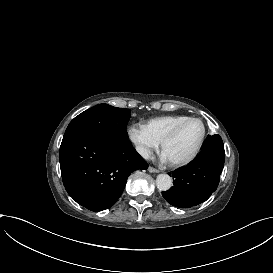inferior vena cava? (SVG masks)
I'll list each match as a JSON object with an SVG mask.
<instances>
[{"instance_id":"inferior-vena-cava-1","label":"inferior vena cava","mask_w":273,"mask_h":273,"mask_svg":"<svg viewBox=\"0 0 273 273\" xmlns=\"http://www.w3.org/2000/svg\"><path fill=\"white\" fill-rule=\"evenodd\" d=\"M136 149L143 158L149 159V153L146 148H144L142 146H137Z\"/></svg>"}]
</instances>
